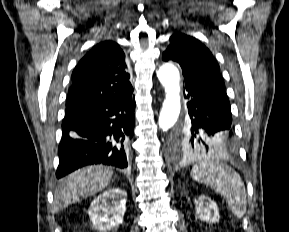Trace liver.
I'll list each match as a JSON object with an SVG mask.
<instances>
[{
	"label": "liver",
	"mask_w": 289,
	"mask_h": 232,
	"mask_svg": "<svg viewBox=\"0 0 289 232\" xmlns=\"http://www.w3.org/2000/svg\"><path fill=\"white\" fill-rule=\"evenodd\" d=\"M113 175L110 167L103 165L86 166L60 180L54 193V210L60 211L65 206L88 198L105 189Z\"/></svg>",
	"instance_id": "liver-1"
}]
</instances>
